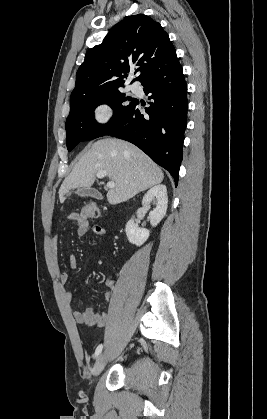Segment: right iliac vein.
<instances>
[{
	"instance_id": "63e3f726",
	"label": "right iliac vein",
	"mask_w": 267,
	"mask_h": 419,
	"mask_svg": "<svg viewBox=\"0 0 267 419\" xmlns=\"http://www.w3.org/2000/svg\"><path fill=\"white\" fill-rule=\"evenodd\" d=\"M106 362H107V355L103 354V353L100 354L98 356L97 360H96V363H95L93 371H92L94 377H97L101 373V371L104 368Z\"/></svg>"
}]
</instances>
